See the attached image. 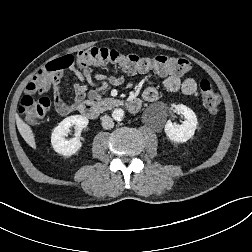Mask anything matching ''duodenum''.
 Returning a JSON list of instances; mask_svg holds the SVG:
<instances>
[{
  "mask_svg": "<svg viewBox=\"0 0 252 252\" xmlns=\"http://www.w3.org/2000/svg\"><path fill=\"white\" fill-rule=\"evenodd\" d=\"M124 104L131 113H136L141 107V100L137 98L130 99ZM107 105L108 103L101 105L96 101L86 100L79 104L78 110L84 117L94 119L100 114L101 108Z\"/></svg>",
  "mask_w": 252,
  "mask_h": 252,
  "instance_id": "410a0bca",
  "label": "duodenum"
}]
</instances>
